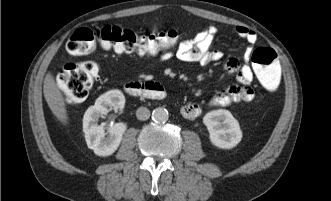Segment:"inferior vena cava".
Masks as SVG:
<instances>
[{
  "mask_svg": "<svg viewBox=\"0 0 331 201\" xmlns=\"http://www.w3.org/2000/svg\"><path fill=\"white\" fill-rule=\"evenodd\" d=\"M136 117L139 120H147L150 118V111L146 107H139L136 111Z\"/></svg>",
  "mask_w": 331,
  "mask_h": 201,
  "instance_id": "1",
  "label": "inferior vena cava"
}]
</instances>
